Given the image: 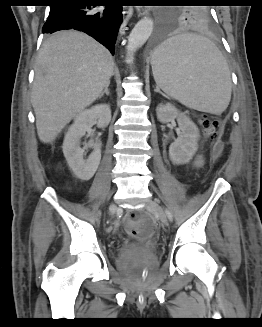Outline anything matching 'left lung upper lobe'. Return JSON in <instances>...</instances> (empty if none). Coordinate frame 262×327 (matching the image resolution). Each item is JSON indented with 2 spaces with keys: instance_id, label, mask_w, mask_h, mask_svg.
<instances>
[{
  "instance_id": "obj_1",
  "label": "left lung upper lobe",
  "mask_w": 262,
  "mask_h": 327,
  "mask_svg": "<svg viewBox=\"0 0 262 327\" xmlns=\"http://www.w3.org/2000/svg\"><path fill=\"white\" fill-rule=\"evenodd\" d=\"M180 3H202L204 0H178ZM160 27L168 29L181 23L184 25H210L212 16L206 6H188L182 9L160 11Z\"/></svg>"
}]
</instances>
